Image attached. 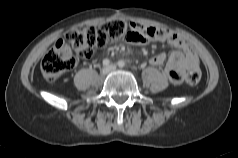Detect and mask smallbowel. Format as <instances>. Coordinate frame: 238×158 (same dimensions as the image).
I'll list each match as a JSON object with an SVG mask.
<instances>
[{
    "label": "small bowel",
    "mask_w": 238,
    "mask_h": 158,
    "mask_svg": "<svg viewBox=\"0 0 238 158\" xmlns=\"http://www.w3.org/2000/svg\"><path fill=\"white\" fill-rule=\"evenodd\" d=\"M132 34L126 39L134 45H145L152 41L167 42L177 50L169 57L161 53L150 59L153 66H161L166 63L165 73L169 80L180 83L186 71L199 68V59L192 49L178 34L153 26H144L139 23H132Z\"/></svg>",
    "instance_id": "obj_1"
}]
</instances>
